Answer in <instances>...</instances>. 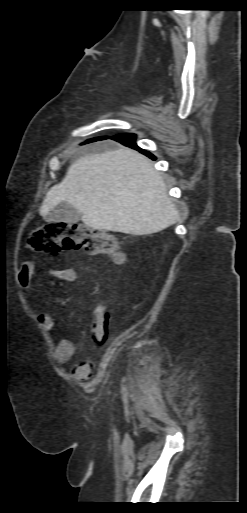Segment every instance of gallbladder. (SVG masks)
Wrapping results in <instances>:
<instances>
[{
  "label": "gallbladder",
  "mask_w": 247,
  "mask_h": 513,
  "mask_svg": "<svg viewBox=\"0 0 247 513\" xmlns=\"http://www.w3.org/2000/svg\"><path fill=\"white\" fill-rule=\"evenodd\" d=\"M82 217L71 204L67 202L60 203L51 213L46 217L47 222H66L68 224L77 223Z\"/></svg>",
  "instance_id": "1"
}]
</instances>
